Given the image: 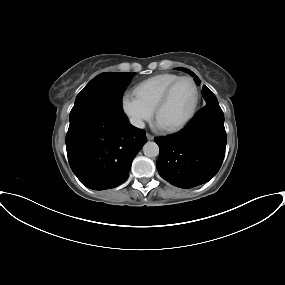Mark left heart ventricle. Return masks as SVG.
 <instances>
[{
    "label": "left heart ventricle",
    "mask_w": 285,
    "mask_h": 285,
    "mask_svg": "<svg viewBox=\"0 0 285 285\" xmlns=\"http://www.w3.org/2000/svg\"><path fill=\"white\" fill-rule=\"evenodd\" d=\"M195 100V91L188 80L180 81L171 93L165 106L160 110L157 120L165 127L183 121L190 113Z\"/></svg>",
    "instance_id": "b2bd125f"
}]
</instances>
